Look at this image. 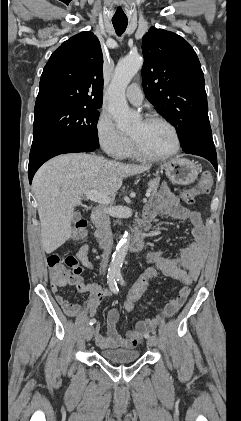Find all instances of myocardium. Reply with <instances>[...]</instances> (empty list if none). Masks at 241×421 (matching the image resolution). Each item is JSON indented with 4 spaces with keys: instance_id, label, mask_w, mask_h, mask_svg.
<instances>
[{
    "instance_id": "1",
    "label": "myocardium",
    "mask_w": 241,
    "mask_h": 421,
    "mask_svg": "<svg viewBox=\"0 0 241 421\" xmlns=\"http://www.w3.org/2000/svg\"><path fill=\"white\" fill-rule=\"evenodd\" d=\"M144 123H162L164 125H166L172 132L173 137H174V146L173 148L162 155H151L147 152H145L138 144V142L135 140V138H133L132 136H130V144H131V148L133 150V153L135 156L147 160V161H152V162H160V161H165L171 157H173L174 155H176L181 147V139H180V135L178 132V129L176 128V126L170 122L169 120L161 117V116H147L142 120Z\"/></svg>"
}]
</instances>
